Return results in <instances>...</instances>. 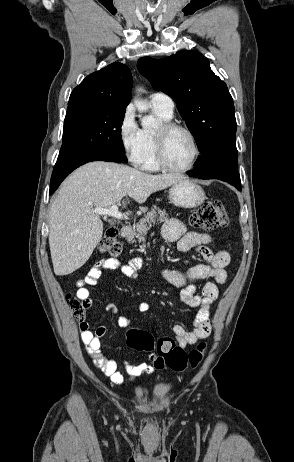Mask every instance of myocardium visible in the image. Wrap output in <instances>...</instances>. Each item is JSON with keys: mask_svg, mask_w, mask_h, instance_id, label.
<instances>
[{"mask_svg": "<svg viewBox=\"0 0 294 462\" xmlns=\"http://www.w3.org/2000/svg\"><path fill=\"white\" fill-rule=\"evenodd\" d=\"M177 130L185 132L191 139L194 147V153L190 163L187 166L181 168L171 166L166 159L167 138L172 132ZM154 137L156 161L160 169L170 173H185L193 169V167L196 165L201 155V148L195 133L189 127L172 121H164L155 131Z\"/></svg>", "mask_w": 294, "mask_h": 462, "instance_id": "myocardium-1", "label": "myocardium"}]
</instances>
